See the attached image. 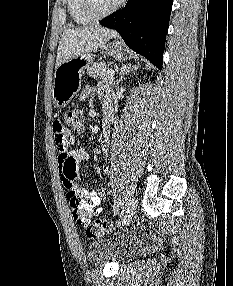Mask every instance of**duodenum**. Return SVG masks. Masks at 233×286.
Returning a JSON list of instances; mask_svg holds the SVG:
<instances>
[{
  "mask_svg": "<svg viewBox=\"0 0 233 286\" xmlns=\"http://www.w3.org/2000/svg\"><path fill=\"white\" fill-rule=\"evenodd\" d=\"M112 119H113V115H109V116H108L109 122L112 121Z\"/></svg>",
  "mask_w": 233,
  "mask_h": 286,
  "instance_id": "1",
  "label": "duodenum"
}]
</instances>
